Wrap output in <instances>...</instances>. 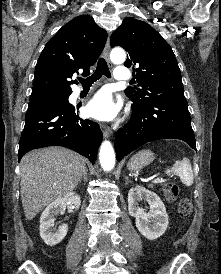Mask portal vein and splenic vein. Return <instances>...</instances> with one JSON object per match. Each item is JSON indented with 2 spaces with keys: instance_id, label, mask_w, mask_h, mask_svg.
Here are the masks:
<instances>
[{
  "instance_id": "obj_1",
  "label": "portal vein and splenic vein",
  "mask_w": 221,
  "mask_h": 274,
  "mask_svg": "<svg viewBox=\"0 0 221 274\" xmlns=\"http://www.w3.org/2000/svg\"><path fill=\"white\" fill-rule=\"evenodd\" d=\"M153 178V177H152ZM151 178V179H152ZM163 181V179L162 178H160V177H157V178H155L154 180H153V182L154 183H160V182H162Z\"/></svg>"
}]
</instances>
